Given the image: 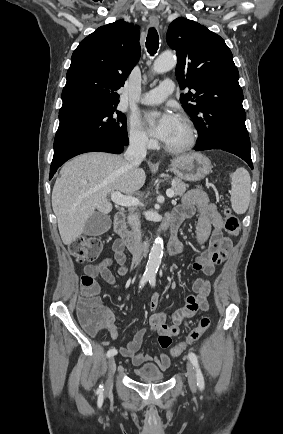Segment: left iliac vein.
I'll list each match as a JSON object with an SVG mask.
<instances>
[{"label": "left iliac vein", "instance_id": "left-iliac-vein-1", "mask_svg": "<svg viewBox=\"0 0 283 434\" xmlns=\"http://www.w3.org/2000/svg\"><path fill=\"white\" fill-rule=\"evenodd\" d=\"M186 367H187V377H188L189 387L192 391H196L197 380H196V376H195V372L193 370V367H192L190 362H187Z\"/></svg>", "mask_w": 283, "mask_h": 434}]
</instances>
